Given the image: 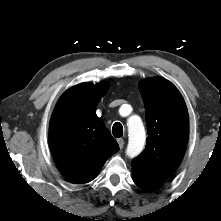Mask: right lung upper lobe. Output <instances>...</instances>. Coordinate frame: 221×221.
I'll use <instances>...</instances> for the list:
<instances>
[{
  "mask_svg": "<svg viewBox=\"0 0 221 221\" xmlns=\"http://www.w3.org/2000/svg\"><path fill=\"white\" fill-rule=\"evenodd\" d=\"M108 85L82 83L68 89L51 117L49 143L55 163L75 183L93 180L105 161L119 150L96 106Z\"/></svg>",
  "mask_w": 221,
  "mask_h": 221,
  "instance_id": "cb5924a9",
  "label": "right lung upper lobe"
}]
</instances>
